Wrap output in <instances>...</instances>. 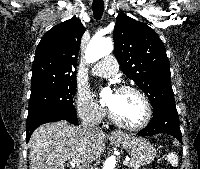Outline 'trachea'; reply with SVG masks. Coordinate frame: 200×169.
I'll return each instance as SVG.
<instances>
[{
	"label": "trachea",
	"instance_id": "3493384b",
	"mask_svg": "<svg viewBox=\"0 0 200 169\" xmlns=\"http://www.w3.org/2000/svg\"><path fill=\"white\" fill-rule=\"evenodd\" d=\"M92 10L94 18L100 20L104 11V2L103 0H93Z\"/></svg>",
	"mask_w": 200,
	"mask_h": 169
}]
</instances>
